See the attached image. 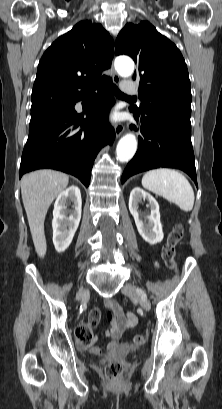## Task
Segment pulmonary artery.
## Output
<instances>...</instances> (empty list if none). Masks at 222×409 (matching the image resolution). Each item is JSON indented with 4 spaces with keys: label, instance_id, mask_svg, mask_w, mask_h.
Here are the masks:
<instances>
[{
    "label": "pulmonary artery",
    "instance_id": "obj_1",
    "mask_svg": "<svg viewBox=\"0 0 222 409\" xmlns=\"http://www.w3.org/2000/svg\"><path fill=\"white\" fill-rule=\"evenodd\" d=\"M123 92L127 95H135L138 93L137 87L135 84H123L122 85Z\"/></svg>",
    "mask_w": 222,
    "mask_h": 409
}]
</instances>
